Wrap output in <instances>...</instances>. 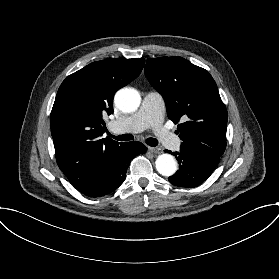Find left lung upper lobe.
<instances>
[{"label": "left lung upper lobe", "instance_id": "1", "mask_svg": "<svg viewBox=\"0 0 279 279\" xmlns=\"http://www.w3.org/2000/svg\"><path fill=\"white\" fill-rule=\"evenodd\" d=\"M145 74L163 96L182 148L220 157L226 148L227 111L217 85L205 69L182 57L147 59Z\"/></svg>", "mask_w": 279, "mask_h": 279}]
</instances>
